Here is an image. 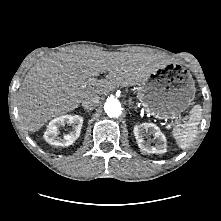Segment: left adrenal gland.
<instances>
[{
	"mask_svg": "<svg viewBox=\"0 0 221 221\" xmlns=\"http://www.w3.org/2000/svg\"><path fill=\"white\" fill-rule=\"evenodd\" d=\"M129 105H130V108H134L135 110L137 109L135 106L133 107V102H132V100L129 101Z\"/></svg>",
	"mask_w": 221,
	"mask_h": 221,
	"instance_id": "1",
	"label": "left adrenal gland"
}]
</instances>
